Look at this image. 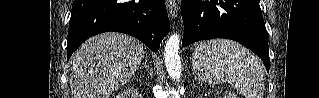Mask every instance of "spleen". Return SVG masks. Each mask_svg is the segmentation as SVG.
Masks as SVG:
<instances>
[{
  "instance_id": "obj_1",
  "label": "spleen",
  "mask_w": 319,
  "mask_h": 98,
  "mask_svg": "<svg viewBox=\"0 0 319 98\" xmlns=\"http://www.w3.org/2000/svg\"><path fill=\"white\" fill-rule=\"evenodd\" d=\"M193 70L209 84L228 82L245 98H263L264 68L248 49L230 40H209L197 45Z\"/></svg>"
}]
</instances>
